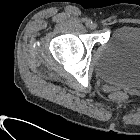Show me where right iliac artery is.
<instances>
[{
	"label": "right iliac artery",
	"instance_id": "obj_1",
	"mask_svg": "<svg viewBox=\"0 0 140 140\" xmlns=\"http://www.w3.org/2000/svg\"><path fill=\"white\" fill-rule=\"evenodd\" d=\"M92 24V21L91 20H86V26H90Z\"/></svg>",
	"mask_w": 140,
	"mask_h": 140
}]
</instances>
